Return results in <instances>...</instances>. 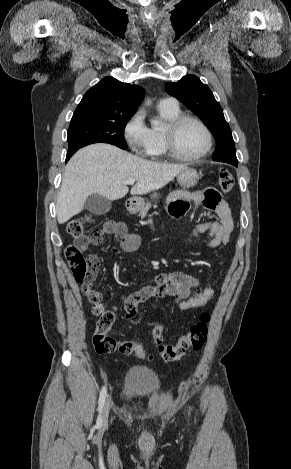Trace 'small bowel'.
<instances>
[{
  "label": "small bowel",
  "mask_w": 291,
  "mask_h": 469,
  "mask_svg": "<svg viewBox=\"0 0 291 469\" xmlns=\"http://www.w3.org/2000/svg\"><path fill=\"white\" fill-rule=\"evenodd\" d=\"M190 202L202 205L206 209L214 212L217 215V220L199 223L190 231L184 241L187 243L192 242L198 235L209 232L208 245L210 247L214 248L228 243L233 231L234 222L230 208L227 202L221 198L220 194L213 188L195 192L176 191L169 197L168 213L173 218H180L187 211ZM101 232L102 237L103 235L113 234L120 243V247L123 251L132 252L140 247V236L136 233L128 232L126 225L122 222L108 221L104 223ZM101 240L91 244L98 245ZM89 259L98 268V257L96 255H90ZM198 285V279L188 273L181 271L169 274L161 273L156 277V285L146 286L125 299V320L133 321L138 315V304L150 298L169 297L173 299L181 311L199 309L205 306L214 296V290L205 289L192 296V291L197 288ZM96 292L102 300L101 293ZM101 304L104 305L103 301ZM94 306L93 304V308Z\"/></svg>",
  "instance_id": "small-bowel-1"
}]
</instances>
